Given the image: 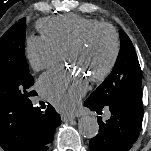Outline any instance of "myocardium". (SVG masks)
<instances>
[{
	"label": "myocardium",
	"instance_id": "obj_1",
	"mask_svg": "<svg viewBox=\"0 0 151 151\" xmlns=\"http://www.w3.org/2000/svg\"><path fill=\"white\" fill-rule=\"evenodd\" d=\"M101 31L107 32L111 37L112 54H111V58H110L108 64L105 66V68L103 70H101L99 73L90 76V79L95 82L102 81L106 77H108L109 74L112 72L113 68L115 67L116 62L118 60L119 51H120V42H119L118 34L115 31V29L112 26H110L109 24L101 23V24L95 25V26L89 28L78 40L73 42L65 51V56H66V58L69 59V57L72 54L84 49L90 42L91 38L95 34L101 32Z\"/></svg>",
	"mask_w": 151,
	"mask_h": 151
}]
</instances>
